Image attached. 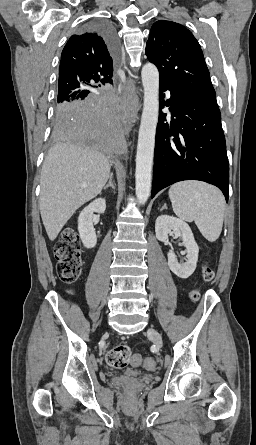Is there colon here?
Listing matches in <instances>:
<instances>
[{
    "label": "colon",
    "mask_w": 256,
    "mask_h": 445,
    "mask_svg": "<svg viewBox=\"0 0 256 445\" xmlns=\"http://www.w3.org/2000/svg\"><path fill=\"white\" fill-rule=\"evenodd\" d=\"M81 249L78 233L74 229L64 230L54 249L58 274L64 282H73L79 277L82 270ZM213 277V270L210 267H204L202 270L203 280L210 281ZM190 298L194 302L198 301L200 298L199 292L193 290L190 293ZM142 360V355L132 354L130 347L123 344L113 347L106 355L107 364L116 369H123L129 363L140 365ZM146 368H154L152 359L146 360Z\"/></svg>",
    "instance_id": "1"
}]
</instances>
